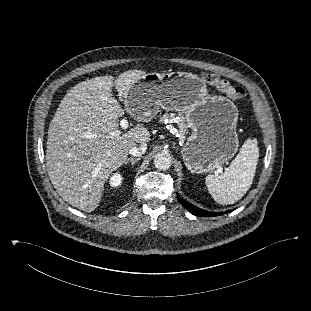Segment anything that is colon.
<instances>
[{"mask_svg":"<svg viewBox=\"0 0 311 311\" xmlns=\"http://www.w3.org/2000/svg\"><path fill=\"white\" fill-rule=\"evenodd\" d=\"M205 81L208 85L226 93L233 101H240L246 97V92L242 87L233 86L229 81L220 78L216 74H207Z\"/></svg>","mask_w":311,"mask_h":311,"instance_id":"colon-1","label":"colon"}]
</instances>
